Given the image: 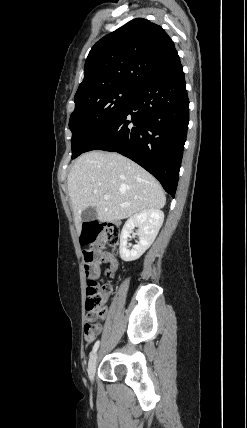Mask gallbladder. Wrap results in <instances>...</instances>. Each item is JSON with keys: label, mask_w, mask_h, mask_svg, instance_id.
<instances>
[{"label": "gallbladder", "mask_w": 247, "mask_h": 428, "mask_svg": "<svg viewBox=\"0 0 247 428\" xmlns=\"http://www.w3.org/2000/svg\"><path fill=\"white\" fill-rule=\"evenodd\" d=\"M81 218L84 222H91L97 218V212L95 208L89 207L82 211Z\"/></svg>", "instance_id": "obj_1"}]
</instances>
